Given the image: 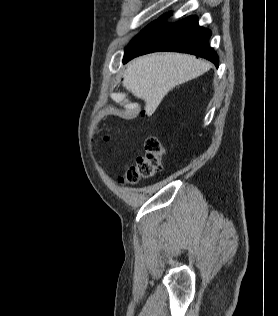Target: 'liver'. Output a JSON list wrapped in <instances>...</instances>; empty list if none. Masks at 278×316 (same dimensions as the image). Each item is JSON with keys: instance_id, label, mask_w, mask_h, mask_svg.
I'll return each instance as SVG.
<instances>
[{"instance_id": "1", "label": "liver", "mask_w": 278, "mask_h": 316, "mask_svg": "<svg viewBox=\"0 0 278 316\" xmlns=\"http://www.w3.org/2000/svg\"><path fill=\"white\" fill-rule=\"evenodd\" d=\"M210 68L206 61L187 54L145 55L128 64L123 86L145 101V112L150 116L171 89Z\"/></svg>"}]
</instances>
